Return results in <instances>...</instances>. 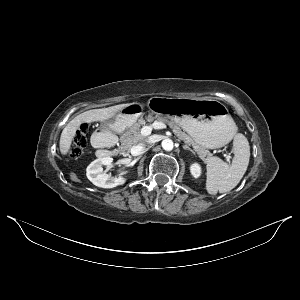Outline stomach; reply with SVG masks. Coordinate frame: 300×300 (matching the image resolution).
I'll return each instance as SVG.
<instances>
[{"mask_svg": "<svg viewBox=\"0 0 300 300\" xmlns=\"http://www.w3.org/2000/svg\"><path fill=\"white\" fill-rule=\"evenodd\" d=\"M147 105L151 114L176 121L194 141L206 148L223 147L237 130L226 106L214 99L155 97ZM143 110V104L130 103L114 115L108 126L121 133L136 123Z\"/></svg>", "mask_w": 300, "mask_h": 300, "instance_id": "0dacf381", "label": "stomach"}]
</instances>
